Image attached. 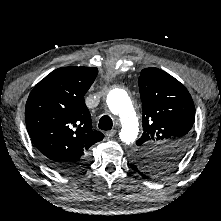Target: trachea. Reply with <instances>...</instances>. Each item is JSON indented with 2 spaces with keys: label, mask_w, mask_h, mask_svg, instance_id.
<instances>
[{
  "label": "trachea",
  "mask_w": 221,
  "mask_h": 221,
  "mask_svg": "<svg viewBox=\"0 0 221 221\" xmlns=\"http://www.w3.org/2000/svg\"><path fill=\"white\" fill-rule=\"evenodd\" d=\"M112 126H113V121L109 116L104 115L101 117L99 121V128L101 130H105V131L110 130L112 129Z\"/></svg>",
  "instance_id": "3493384b"
}]
</instances>
